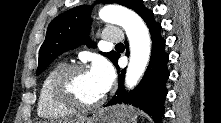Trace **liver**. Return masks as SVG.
I'll return each mask as SVG.
<instances>
[{"instance_id": "6515ba94", "label": "liver", "mask_w": 221, "mask_h": 123, "mask_svg": "<svg viewBox=\"0 0 221 123\" xmlns=\"http://www.w3.org/2000/svg\"><path fill=\"white\" fill-rule=\"evenodd\" d=\"M70 122H76V123H79V122H81V119H78V120H72V121H70Z\"/></svg>"}]
</instances>
